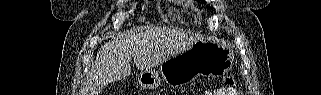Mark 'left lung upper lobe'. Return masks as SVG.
I'll return each mask as SVG.
<instances>
[{"instance_id": "5c2ea615", "label": "left lung upper lobe", "mask_w": 321, "mask_h": 95, "mask_svg": "<svg viewBox=\"0 0 321 95\" xmlns=\"http://www.w3.org/2000/svg\"><path fill=\"white\" fill-rule=\"evenodd\" d=\"M198 1H201V3H206L204 0H198Z\"/></svg>"}]
</instances>
